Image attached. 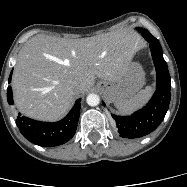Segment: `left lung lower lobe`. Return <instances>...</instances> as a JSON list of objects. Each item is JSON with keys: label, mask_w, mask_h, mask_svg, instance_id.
<instances>
[{"label": "left lung lower lobe", "mask_w": 187, "mask_h": 187, "mask_svg": "<svg viewBox=\"0 0 187 187\" xmlns=\"http://www.w3.org/2000/svg\"><path fill=\"white\" fill-rule=\"evenodd\" d=\"M143 37L150 44L156 68V91L148 104L132 115L124 117L112 115L120 136L130 139L140 138L154 131L163 121L171 99L170 74L167 63L163 58L161 45L150 33H143Z\"/></svg>", "instance_id": "1"}]
</instances>
